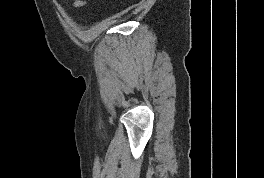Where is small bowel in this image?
<instances>
[{"label":"small bowel","mask_w":264,"mask_h":178,"mask_svg":"<svg viewBox=\"0 0 264 178\" xmlns=\"http://www.w3.org/2000/svg\"><path fill=\"white\" fill-rule=\"evenodd\" d=\"M83 5H84V1L83 0H76V2H75V6L76 7H81Z\"/></svg>","instance_id":"c3829d8e"}]
</instances>
